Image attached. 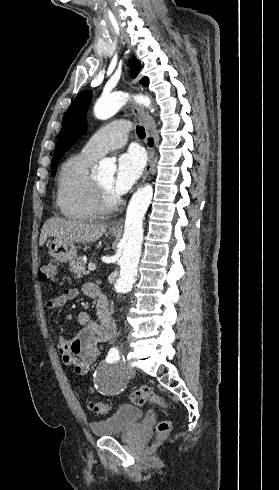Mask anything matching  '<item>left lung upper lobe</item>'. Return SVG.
Here are the masks:
<instances>
[{"mask_svg":"<svg viewBox=\"0 0 279 490\" xmlns=\"http://www.w3.org/2000/svg\"><path fill=\"white\" fill-rule=\"evenodd\" d=\"M130 74L135 78L141 68L140 62L136 58L129 60ZM141 84L148 85V79L143 78ZM92 94L90 91L80 93L72 102L66 111L63 119V127L58 135L54 156L51 162L52 174L55 172V167L65 151L72 147L87 129L86 124V109L90 103Z\"/></svg>","mask_w":279,"mask_h":490,"instance_id":"left-lung-upper-lobe-1","label":"left lung upper lobe"}]
</instances>
